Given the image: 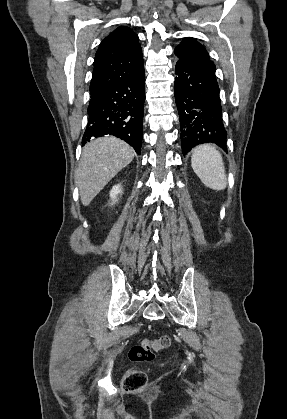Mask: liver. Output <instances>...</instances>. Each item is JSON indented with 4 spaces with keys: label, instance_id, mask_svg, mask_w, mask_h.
Segmentation results:
<instances>
[{
    "label": "liver",
    "instance_id": "liver-1",
    "mask_svg": "<svg viewBox=\"0 0 287 419\" xmlns=\"http://www.w3.org/2000/svg\"><path fill=\"white\" fill-rule=\"evenodd\" d=\"M134 155L131 146L115 137H101L87 143L76 176L82 204L89 205L108 182L132 162Z\"/></svg>",
    "mask_w": 287,
    "mask_h": 419
}]
</instances>
